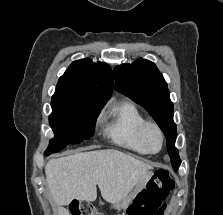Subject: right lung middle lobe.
I'll return each mask as SVG.
<instances>
[{"instance_id": "1", "label": "right lung middle lobe", "mask_w": 223, "mask_h": 215, "mask_svg": "<svg viewBox=\"0 0 223 215\" xmlns=\"http://www.w3.org/2000/svg\"><path fill=\"white\" fill-rule=\"evenodd\" d=\"M51 107L49 123L55 138L50 140L49 147L45 151L46 156L61 151L68 144H78L93 136L101 107L89 105H51Z\"/></svg>"}]
</instances>
